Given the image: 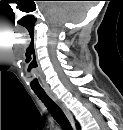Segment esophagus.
Masks as SVG:
<instances>
[{"instance_id":"obj_1","label":"esophagus","mask_w":123,"mask_h":130,"mask_svg":"<svg viewBox=\"0 0 123 130\" xmlns=\"http://www.w3.org/2000/svg\"><path fill=\"white\" fill-rule=\"evenodd\" d=\"M48 95L62 109V111L64 112L68 120L70 121L71 126L73 127V129H75L76 126H75L74 119L72 117V114L68 110V108L65 106V104L60 99H58L53 93H48Z\"/></svg>"}]
</instances>
